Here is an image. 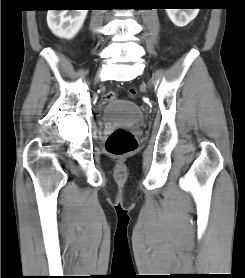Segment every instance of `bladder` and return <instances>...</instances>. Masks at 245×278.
Instances as JSON below:
<instances>
[{
	"mask_svg": "<svg viewBox=\"0 0 245 278\" xmlns=\"http://www.w3.org/2000/svg\"><path fill=\"white\" fill-rule=\"evenodd\" d=\"M142 113L136 104L126 100L109 101L102 112L104 124L134 127L142 122Z\"/></svg>",
	"mask_w": 245,
	"mask_h": 278,
	"instance_id": "bladder-1",
	"label": "bladder"
}]
</instances>
